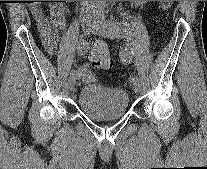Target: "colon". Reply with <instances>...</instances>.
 <instances>
[{
	"label": "colon",
	"mask_w": 207,
	"mask_h": 169,
	"mask_svg": "<svg viewBox=\"0 0 207 169\" xmlns=\"http://www.w3.org/2000/svg\"><path fill=\"white\" fill-rule=\"evenodd\" d=\"M172 1H162L164 7L170 6ZM90 61L96 69H109L112 67V59L104 42L98 41L94 44Z\"/></svg>",
	"instance_id": "5ec220e1"
}]
</instances>
